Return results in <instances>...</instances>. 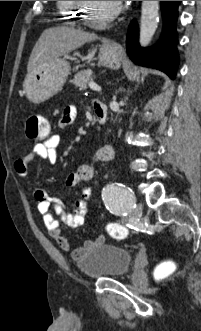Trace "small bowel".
<instances>
[{"mask_svg":"<svg viewBox=\"0 0 201 331\" xmlns=\"http://www.w3.org/2000/svg\"><path fill=\"white\" fill-rule=\"evenodd\" d=\"M104 107L100 102L93 104L94 112ZM77 115V110L74 106H67L62 113L59 121L61 129L71 125ZM60 137L53 135L46 140L35 144L26 155L18 158L14 163L15 171L26 176L29 163L38 158L46 161L49 164H55L58 158V147ZM114 157V148L108 143L95 152L96 161H110ZM94 175L93 167L89 164L81 165L75 173L70 174L66 179V185L69 187H79L81 197L75 202L74 209L69 212L65 204L57 198L50 197L47 192L41 188L34 190V198L37 203V210L42 216L44 224L60 249L68 252L74 260H79L91 248L99 245L102 239L87 240L82 247L74 248L71 246L69 239L61 231V225L69 228H78L84 224L85 216L88 209V201L92 197L93 192L86 185Z\"/></svg>","mask_w":201,"mask_h":331,"instance_id":"obj_1","label":"small bowel"}]
</instances>
